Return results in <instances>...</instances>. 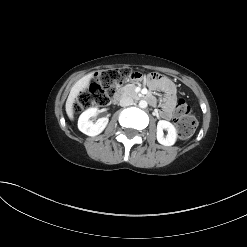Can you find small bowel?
I'll return each instance as SVG.
<instances>
[{
	"label": "small bowel",
	"instance_id": "small-bowel-1",
	"mask_svg": "<svg viewBox=\"0 0 247 247\" xmlns=\"http://www.w3.org/2000/svg\"><path fill=\"white\" fill-rule=\"evenodd\" d=\"M126 78L132 82H148L152 89L160 90L164 93V100L160 107L159 114L164 119H170L176 104V88L167 78L161 77L160 74L150 71L129 70Z\"/></svg>",
	"mask_w": 247,
	"mask_h": 247
}]
</instances>
